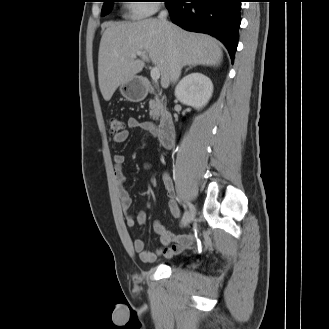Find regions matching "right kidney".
<instances>
[{
  "label": "right kidney",
  "instance_id": "ca27d5eb",
  "mask_svg": "<svg viewBox=\"0 0 329 329\" xmlns=\"http://www.w3.org/2000/svg\"><path fill=\"white\" fill-rule=\"evenodd\" d=\"M213 93L212 81L202 73L195 72L184 77L175 89L176 98L195 109L204 107Z\"/></svg>",
  "mask_w": 329,
  "mask_h": 329
}]
</instances>
